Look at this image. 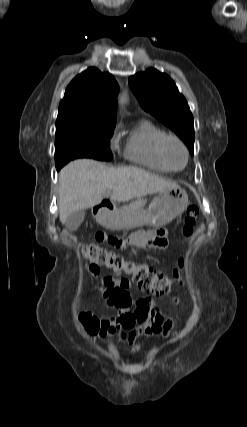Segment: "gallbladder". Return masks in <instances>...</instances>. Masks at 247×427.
<instances>
[{
  "mask_svg": "<svg viewBox=\"0 0 247 427\" xmlns=\"http://www.w3.org/2000/svg\"><path fill=\"white\" fill-rule=\"evenodd\" d=\"M84 218H85V211L78 210L70 214L65 220L64 224L70 231H74L81 225V223L84 221Z\"/></svg>",
  "mask_w": 247,
  "mask_h": 427,
  "instance_id": "obj_1",
  "label": "gallbladder"
}]
</instances>
